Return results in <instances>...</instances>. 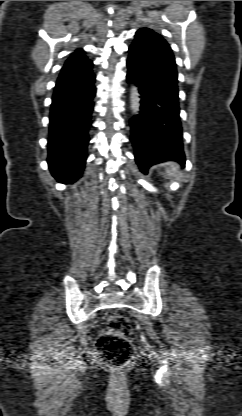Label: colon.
<instances>
[{
    "label": "colon",
    "mask_w": 242,
    "mask_h": 416,
    "mask_svg": "<svg viewBox=\"0 0 242 416\" xmlns=\"http://www.w3.org/2000/svg\"><path fill=\"white\" fill-rule=\"evenodd\" d=\"M131 323L122 314H113L107 321V330L99 335L96 348L104 360L113 367L124 366L133 356L134 348L129 340Z\"/></svg>",
    "instance_id": "5ec220e1"
}]
</instances>
